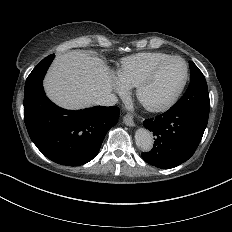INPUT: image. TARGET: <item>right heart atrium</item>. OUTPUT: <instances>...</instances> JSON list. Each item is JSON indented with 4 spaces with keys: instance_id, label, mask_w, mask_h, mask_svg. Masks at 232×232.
I'll return each instance as SVG.
<instances>
[{
    "instance_id": "1",
    "label": "right heart atrium",
    "mask_w": 232,
    "mask_h": 232,
    "mask_svg": "<svg viewBox=\"0 0 232 232\" xmlns=\"http://www.w3.org/2000/svg\"><path fill=\"white\" fill-rule=\"evenodd\" d=\"M112 81V84H113V90H117V91H120L122 92L123 91V87L114 79H111Z\"/></svg>"
}]
</instances>
